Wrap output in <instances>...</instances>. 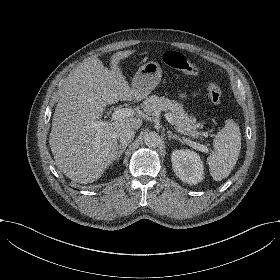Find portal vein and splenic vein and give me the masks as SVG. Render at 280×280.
<instances>
[{
  "label": "portal vein and splenic vein",
  "instance_id": "18ae733b",
  "mask_svg": "<svg viewBox=\"0 0 280 280\" xmlns=\"http://www.w3.org/2000/svg\"><path fill=\"white\" fill-rule=\"evenodd\" d=\"M136 116H143V114L140 111H137L131 107H124V108H119L116 109V111L113 114L114 119H124L126 117H136ZM164 117L166 118L167 121H172L173 116L172 113L166 111L164 113ZM96 126H98V122H95ZM191 147H194L195 149H199L200 151L204 153H210L213 154V151L208 149L205 145L195 143V142H190L189 144Z\"/></svg>",
  "mask_w": 280,
  "mask_h": 280
}]
</instances>
